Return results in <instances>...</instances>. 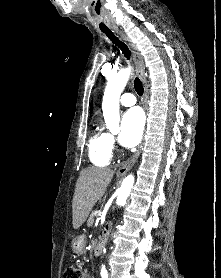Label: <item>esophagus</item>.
<instances>
[{
    "label": "esophagus",
    "instance_id": "obj_1",
    "mask_svg": "<svg viewBox=\"0 0 221 278\" xmlns=\"http://www.w3.org/2000/svg\"><path fill=\"white\" fill-rule=\"evenodd\" d=\"M115 32L118 35H120V37L131 48L132 56H133V60H134L135 66H136L137 74H138L139 78L141 79V81L143 83V87H144V107H145V110H147L146 102H147V99H148V86H147L145 73H144L145 67H144L143 57L141 56L137 46L134 43H132V41L128 38V36L125 33H123L122 31H120L118 29H116ZM143 142H144V138L142 139V142L139 145L138 150L136 151V153L127 162H125L121 167H119V169L117 170V175H119V176L126 175L127 172L132 168V166L137 161V159L140 155L141 149L143 147Z\"/></svg>",
    "mask_w": 221,
    "mask_h": 278
}]
</instances>
